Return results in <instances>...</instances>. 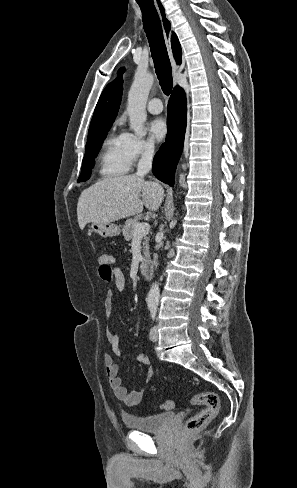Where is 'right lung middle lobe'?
Wrapping results in <instances>:
<instances>
[{
	"instance_id": "1",
	"label": "right lung middle lobe",
	"mask_w": 297,
	"mask_h": 488,
	"mask_svg": "<svg viewBox=\"0 0 297 488\" xmlns=\"http://www.w3.org/2000/svg\"><path fill=\"white\" fill-rule=\"evenodd\" d=\"M111 125L112 124H104L89 132L86 152L82 161V169L78 182L86 181L90 178L91 170L94 166V159L96 158L101 148V143L106 138Z\"/></svg>"
}]
</instances>
